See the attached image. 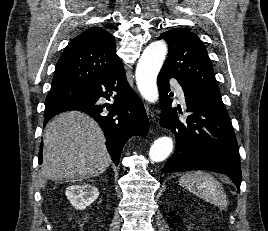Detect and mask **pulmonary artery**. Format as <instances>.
Returning <instances> with one entry per match:
<instances>
[{"label": "pulmonary artery", "mask_w": 268, "mask_h": 231, "mask_svg": "<svg viewBox=\"0 0 268 231\" xmlns=\"http://www.w3.org/2000/svg\"><path fill=\"white\" fill-rule=\"evenodd\" d=\"M174 89H175V92H176L177 96L179 97V99L184 101L185 95H184V91H183L182 87L178 84H174Z\"/></svg>", "instance_id": "e3ab8cb5"}]
</instances>
